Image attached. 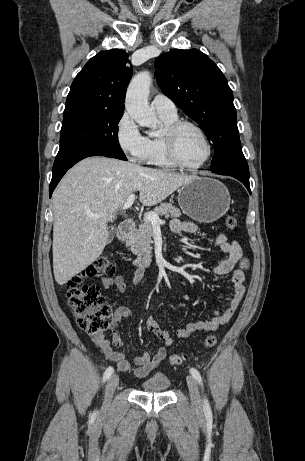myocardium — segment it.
<instances>
[{"instance_id":"f54148a6","label":"myocardium","mask_w":305,"mask_h":461,"mask_svg":"<svg viewBox=\"0 0 305 461\" xmlns=\"http://www.w3.org/2000/svg\"><path fill=\"white\" fill-rule=\"evenodd\" d=\"M185 127H190L194 129L203 139L207 152L204 159L195 165H190L181 160L177 152V139L178 135L181 130ZM164 151L166 153L167 158L170 160L172 164L175 166L185 169V170H198L202 168L211 158L212 156V144L205 133V131L196 123L188 120H176L175 122L169 124L163 133L162 137Z\"/></svg>"}]
</instances>
